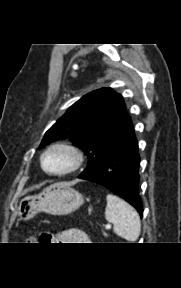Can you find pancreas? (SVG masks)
Returning a JSON list of instances; mask_svg holds the SVG:
<instances>
[{
  "mask_svg": "<svg viewBox=\"0 0 181 288\" xmlns=\"http://www.w3.org/2000/svg\"><path fill=\"white\" fill-rule=\"evenodd\" d=\"M103 235H104V236H107V234H106L105 232H103Z\"/></svg>",
  "mask_w": 181,
  "mask_h": 288,
  "instance_id": "obj_1",
  "label": "pancreas"
}]
</instances>
